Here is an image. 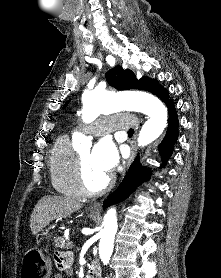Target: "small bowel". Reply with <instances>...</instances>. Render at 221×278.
I'll return each mask as SVG.
<instances>
[{"label":"small bowel","mask_w":221,"mask_h":278,"mask_svg":"<svg viewBox=\"0 0 221 278\" xmlns=\"http://www.w3.org/2000/svg\"><path fill=\"white\" fill-rule=\"evenodd\" d=\"M56 266L59 270L52 278H64L72 275V256L68 252H59L54 256Z\"/></svg>","instance_id":"obj_1"}]
</instances>
